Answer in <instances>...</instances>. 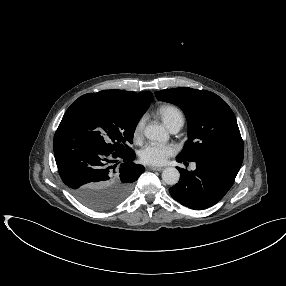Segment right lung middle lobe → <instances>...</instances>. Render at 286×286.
<instances>
[{
  "label": "right lung middle lobe",
  "instance_id": "1",
  "mask_svg": "<svg viewBox=\"0 0 286 286\" xmlns=\"http://www.w3.org/2000/svg\"><path fill=\"white\" fill-rule=\"evenodd\" d=\"M147 108L132 106L101 94H85L66 111L62 123L109 155L132 150L136 125Z\"/></svg>",
  "mask_w": 286,
  "mask_h": 286
}]
</instances>
